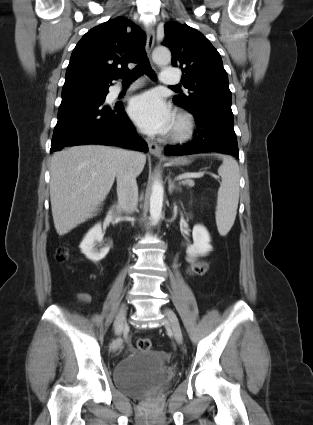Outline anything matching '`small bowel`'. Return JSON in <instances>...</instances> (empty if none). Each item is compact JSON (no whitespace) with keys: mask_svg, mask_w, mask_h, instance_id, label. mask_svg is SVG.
Here are the masks:
<instances>
[{"mask_svg":"<svg viewBox=\"0 0 313 425\" xmlns=\"http://www.w3.org/2000/svg\"><path fill=\"white\" fill-rule=\"evenodd\" d=\"M186 260H187V262L189 263V267H192V266H199V265H201L202 263H200V262H198L197 260H196V258H194L193 256H188L187 258H186ZM79 299L83 302V303H88L90 300H91V297H90V295L89 294H87V293H81V294H79Z\"/></svg>","mask_w":313,"mask_h":425,"instance_id":"1","label":"small bowel"}]
</instances>
